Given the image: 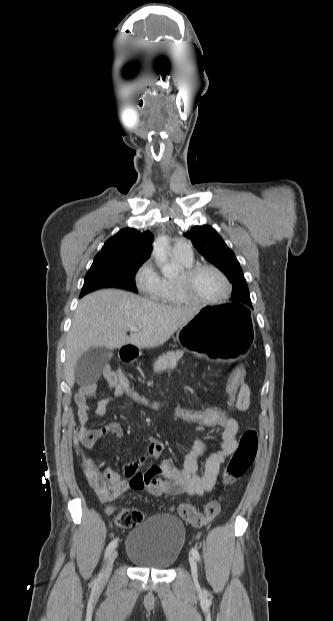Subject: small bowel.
I'll return each instance as SVG.
<instances>
[{"instance_id": "1", "label": "small bowel", "mask_w": 333, "mask_h": 621, "mask_svg": "<svg viewBox=\"0 0 333 621\" xmlns=\"http://www.w3.org/2000/svg\"><path fill=\"white\" fill-rule=\"evenodd\" d=\"M109 386L113 390L115 397L123 396L115 379L106 376ZM97 385L94 383L81 386L75 395L77 404V418L80 427L76 433V442L81 443L87 448L93 447L105 435L121 437L123 429L119 422L112 421L98 429H89V399L96 392ZM250 402V390L244 383L236 399V409L245 411ZM110 398H104L97 402L95 413L102 416L106 413ZM222 433V444L218 451L210 454L204 465L202 474H198L199 460L206 451V442L201 434L204 426L197 425L195 430L198 435L190 452L186 455L184 464L178 468L174 466L173 460L169 457H162L165 446L156 437L150 436L147 439L146 451L139 457L123 465L122 478L113 470L107 469L105 473L114 481L116 492L110 500H113L130 489L145 491L152 496L181 495L203 496L210 492L221 474L222 465L226 458L232 455L237 449V435L239 432L238 421L230 417L225 424L220 427ZM150 458H156L157 462L145 471H141L142 466Z\"/></svg>"}]
</instances>
